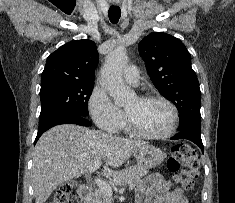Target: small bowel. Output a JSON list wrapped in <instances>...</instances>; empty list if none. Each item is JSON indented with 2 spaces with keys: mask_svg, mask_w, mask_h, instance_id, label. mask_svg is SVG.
<instances>
[{
  "mask_svg": "<svg viewBox=\"0 0 235 203\" xmlns=\"http://www.w3.org/2000/svg\"><path fill=\"white\" fill-rule=\"evenodd\" d=\"M145 195V203H188L182 192L171 189L168 181L160 174L144 178L136 189V199Z\"/></svg>",
  "mask_w": 235,
  "mask_h": 203,
  "instance_id": "c3829d8e",
  "label": "small bowel"
}]
</instances>
